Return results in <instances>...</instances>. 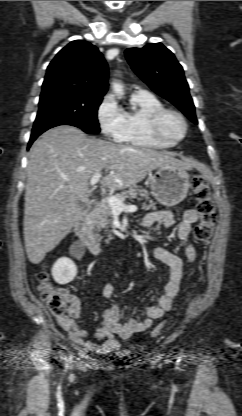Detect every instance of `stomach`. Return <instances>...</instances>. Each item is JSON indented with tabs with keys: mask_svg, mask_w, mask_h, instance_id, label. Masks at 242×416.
I'll return each mask as SVG.
<instances>
[{
	"mask_svg": "<svg viewBox=\"0 0 242 416\" xmlns=\"http://www.w3.org/2000/svg\"><path fill=\"white\" fill-rule=\"evenodd\" d=\"M151 194L162 205L171 207L182 202L188 193L190 182L185 168L164 165L150 177Z\"/></svg>",
	"mask_w": 242,
	"mask_h": 416,
	"instance_id": "0dacf381",
	"label": "stomach"
}]
</instances>
